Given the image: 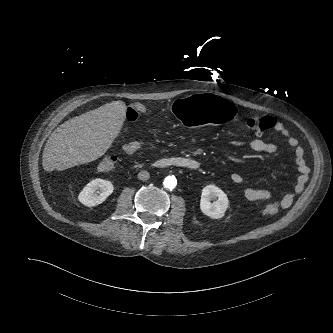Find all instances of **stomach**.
<instances>
[{"label": "stomach", "mask_w": 333, "mask_h": 333, "mask_svg": "<svg viewBox=\"0 0 333 333\" xmlns=\"http://www.w3.org/2000/svg\"><path fill=\"white\" fill-rule=\"evenodd\" d=\"M171 109L186 125H226L237 114L236 104L231 98L212 93H196L176 99Z\"/></svg>", "instance_id": "0dacf381"}]
</instances>
